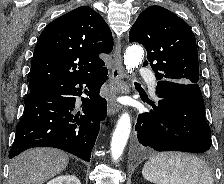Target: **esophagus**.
<instances>
[{
	"label": "esophagus",
	"instance_id": "obj_1",
	"mask_svg": "<svg viewBox=\"0 0 224 184\" xmlns=\"http://www.w3.org/2000/svg\"><path fill=\"white\" fill-rule=\"evenodd\" d=\"M110 79H111V85H110V95L108 98V113L109 115H114L118 113L121 109V106L117 102L116 98L118 95L123 93L126 88L124 82V71L122 64L120 40L117 41L113 53V64Z\"/></svg>",
	"mask_w": 224,
	"mask_h": 184
}]
</instances>
